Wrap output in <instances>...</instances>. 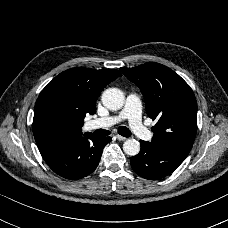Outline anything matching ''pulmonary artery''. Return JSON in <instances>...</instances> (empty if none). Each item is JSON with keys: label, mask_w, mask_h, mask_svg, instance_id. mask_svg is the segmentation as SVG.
Instances as JSON below:
<instances>
[{"label": "pulmonary artery", "mask_w": 228, "mask_h": 228, "mask_svg": "<svg viewBox=\"0 0 228 228\" xmlns=\"http://www.w3.org/2000/svg\"><path fill=\"white\" fill-rule=\"evenodd\" d=\"M142 100L138 94L132 93L126 97L125 105L119 116H107L86 122L85 127L87 130H93L97 128H107L118 122L124 117L130 126L133 127L135 135L138 139L143 141H149L152 138V133L146 130V127L142 121L141 115Z\"/></svg>", "instance_id": "pulmonary-artery-1"}]
</instances>
